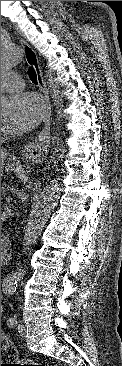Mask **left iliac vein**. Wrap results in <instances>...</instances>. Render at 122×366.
<instances>
[{
	"mask_svg": "<svg viewBox=\"0 0 122 366\" xmlns=\"http://www.w3.org/2000/svg\"><path fill=\"white\" fill-rule=\"evenodd\" d=\"M17 329H18V332L20 333V335H22V336H23V335L25 334V332H26V327H25V325H24V324H22V323L18 324Z\"/></svg>",
	"mask_w": 122,
	"mask_h": 366,
	"instance_id": "4c4485c4",
	"label": "left iliac vein"
}]
</instances>
